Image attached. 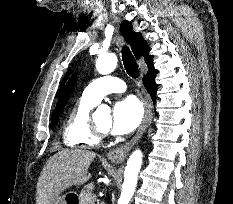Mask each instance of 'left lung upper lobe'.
Wrapping results in <instances>:
<instances>
[{"instance_id": "5c2ea615", "label": "left lung upper lobe", "mask_w": 233, "mask_h": 204, "mask_svg": "<svg viewBox=\"0 0 233 204\" xmlns=\"http://www.w3.org/2000/svg\"><path fill=\"white\" fill-rule=\"evenodd\" d=\"M75 83H76V74L72 75V77L69 79L61 97L58 100L56 109L52 113V118H51V127L52 128L55 127V124H56L62 110L64 109L67 101L69 100V98L74 90Z\"/></svg>"}]
</instances>
